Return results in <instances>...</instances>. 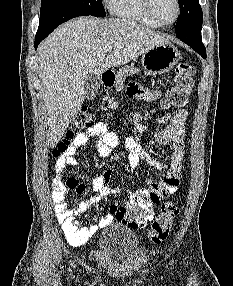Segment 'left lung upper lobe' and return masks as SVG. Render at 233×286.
Instances as JSON below:
<instances>
[{"label":"left lung upper lobe","instance_id":"1","mask_svg":"<svg viewBox=\"0 0 233 286\" xmlns=\"http://www.w3.org/2000/svg\"><path fill=\"white\" fill-rule=\"evenodd\" d=\"M180 17L177 19L175 32H182L190 27L200 26L203 21L199 0H178Z\"/></svg>","mask_w":233,"mask_h":286}]
</instances>
